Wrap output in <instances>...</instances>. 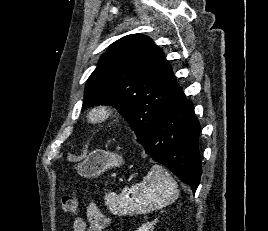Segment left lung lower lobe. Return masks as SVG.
<instances>
[{"mask_svg": "<svg viewBox=\"0 0 268 231\" xmlns=\"http://www.w3.org/2000/svg\"><path fill=\"white\" fill-rule=\"evenodd\" d=\"M200 125L193 105L181 92L154 127L138 142L153 160L168 167L195 193L202 173L198 147Z\"/></svg>", "mask_w": 268, "mask_h": 231, "instance_id": "1", "label": "left lung lower lobe"}]
</instances>
